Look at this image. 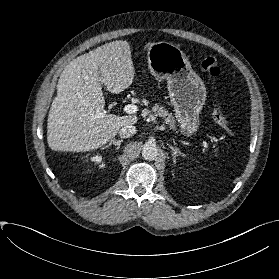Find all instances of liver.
<instances>
[{"mask_svg":"<svg viewBox=\"0 0 279 279\" xmlns=\"http://www.w3.org/2000/svg\"><path fill=\"white\" fill-rule=\"evenodd\" d=\"M153 43H147L149 48ZM130 45L118 40L72 60L57 84L47 123V142L54 151L84 152L102 147L136 115L104 111L102 85L112 94L127 89L134 79ZM100 114V117L97 115Z\"/></svg>","mask_w":279,"mask_h":279,"instance_id":"liver-1","label":"liver"}]
</instances>
